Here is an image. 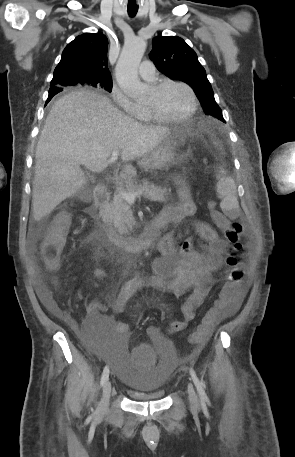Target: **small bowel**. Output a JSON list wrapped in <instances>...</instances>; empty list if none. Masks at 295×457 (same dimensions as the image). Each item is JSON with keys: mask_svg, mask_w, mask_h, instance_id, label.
<instances>
[{"mask_svg": "<svg viewBox=\"0 0 295 457\" xmlns=\"http://www.w3.org/2000/svg\"><path fill=\"white\" fill-rule=\"evenodd\" d=\"M176 185L179 202L166 206L158 215L166 231L159 241L160 257L152 262L151 275L132 279L122 286L117 297L109 303L114 311L113 315L105 314L104 305L100 303L89 304L83 323L91 332L98 334L114 332L125 337L129 326L118 320L117 316L123 313L127 301L135 291L144 285L158 289L164 294L173 295L175 298L188 294L181 308L182 319L174 320L170 324L169 330L172 333L184 330L195 319L196 310L204 304L213 285V274L223 266L229 244L211 225L200 220H192L188 223V229L196 235L197 239L190 236L183 241L179 240L177 228L195 216L196 206L190 198L187 187L182 182H177ZM38 293L49 311L63 316L45 286L40 285ZM242 295L241 288L239 299L230 311L237 309ZM148 334L154 341L162 342L158 327L150 326Z\"/></svg>", "mask_w": 295, "mask_h": 457, "instance_id": "small-bowel-1", "label": "small bowel"}]
</instances>
